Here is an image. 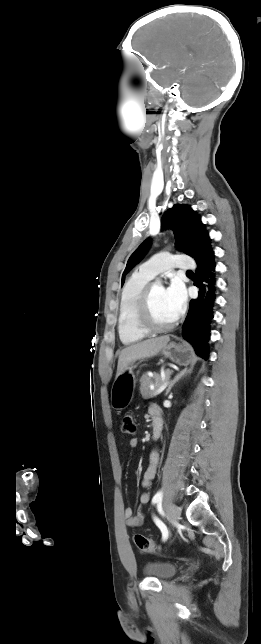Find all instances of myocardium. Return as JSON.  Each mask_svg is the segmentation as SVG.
I'll use <instances>...</instances> for the list:
<instances>
[{"instance_id":"f54148a6","label":"myocardium","mask_w":261,"mask_h":644,"mask_svg":"<svg viewBox=\"0 0 261 644\" xmlns=\"http://www.w3.org/2000/svg\"><path fill=\"white\" fill-rule=\"evenodd\" d=\"M153 284H147L138 299L137 308H136V322L138 327L146 332L147 334L162 333L173 329L178 319H174L172 322L166 325L156 324L151 316L150 309V298L151 290Z\"/></svg>"}]
</instances>
